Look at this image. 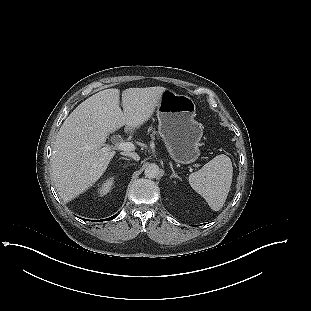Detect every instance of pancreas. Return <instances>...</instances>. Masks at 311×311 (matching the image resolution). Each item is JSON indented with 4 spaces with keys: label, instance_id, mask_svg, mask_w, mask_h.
Listing matches in <instances>:
<instances>
[{
    "label": "pancreas",
    "instance_id": "pancreas-1",
    "mask_svg": "<svg viewBox=\"0 0 311 311\" xmlns=\"http://www.w3.org/2000/svg\"><path fill=\"white\" fill-rule=\"evenodd\" d=\"M154 134H155V132H153V134L151 135L152 138H153Z\"/></svg>",
    "mask_w": 311,
    "mask_h": 311
}]
</instances>
